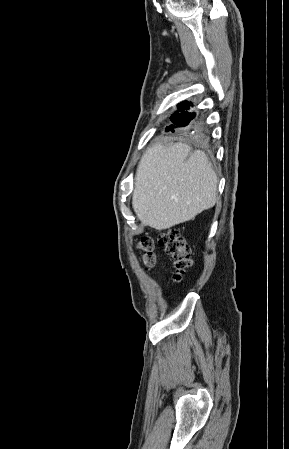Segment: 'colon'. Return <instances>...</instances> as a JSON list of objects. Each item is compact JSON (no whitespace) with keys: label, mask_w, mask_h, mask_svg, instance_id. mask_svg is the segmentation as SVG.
Listing matches in <instances>:
<instances>
[{"label":"colon","mask_w":289,"mask_h":449,"mask_svg":"<svg viewBox=\"0 0 289 449\" xmlns=\"http://www.w3.org/2000/svg\"><path fill=\"white\" fill-rule=\"evenodd\" d=\"M159 244L170 257L175 267V278L180 279L192 265L191 251L178 230L169 229L159 235ZM141 259L147 268H152L156 257L154 253V241L149 236H143L138 242Z\"/></svg>","instance_id":"obj_1"}]
</instances>
